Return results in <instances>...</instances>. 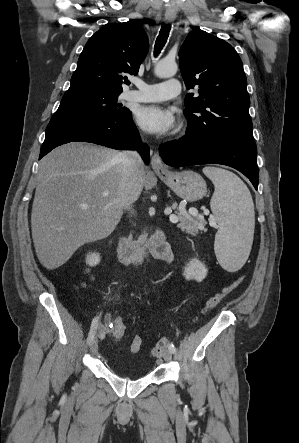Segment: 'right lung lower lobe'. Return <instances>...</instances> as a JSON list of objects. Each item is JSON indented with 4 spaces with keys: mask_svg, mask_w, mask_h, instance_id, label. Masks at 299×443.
Segmentation results:
<instances>
[{
    "mask_svg": "<svg viewBox=\"0 0 299 443\" xmlns=\"http://www.w3.org/2000/svg\"><path fill=\"white\" fill-rule=\"evenodd\" d=\"M69 142H90L113 149H137L149 163V148L140 143L131 112L123 116L93 117L55 113L47 128L39 159Z\"/></svg>",
    "mask_w": 299,
    "mask_h": 443,
    "instance_id": "obj_1",
    "label": "right lung lower lobe"
}]
</instances>
